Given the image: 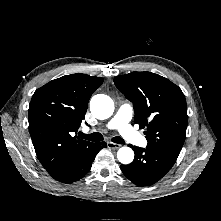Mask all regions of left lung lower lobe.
<instances>
[{
    "instance_id": "0a47b994",
    "label": "left lung lower lobe",
    "mask_w": 221,
    "mask_h": 221,
    "mask_svg": "<svg viewBox=\"0 0 221 221\" xmlns=\"http://www.w3.org/2000/svg\"><path fill=\"white\" fill-rule=\"evenodd\" d=\"M135 153L134 161L129 165H121L124 175L138 186H148L160 180L174 165L177 157L146 147L129 145Z\"/></svg>"
}]
</instances>
